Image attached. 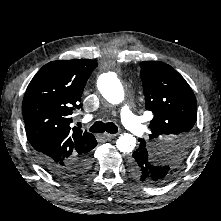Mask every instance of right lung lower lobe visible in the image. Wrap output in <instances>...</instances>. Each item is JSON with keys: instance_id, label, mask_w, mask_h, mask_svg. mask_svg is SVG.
<instances>
[{"instance_id": "1", "label": "right lung lower lobe", "mask_w": 221, "mask_h": 221, "mask_svg": "<svg viewBox=\"0 0 221 221\" xmlns=\"http://www.w3.org/2000/svg\"><path fill=\"white\" fill-rule=\"evenodd\" d=\"M40 163L47 171L59 178H75L89 170L92 159L91 153L70 163H61L37 155Z\"/></svg>"}]
</instances>
